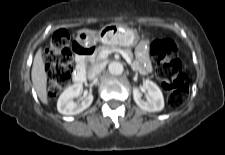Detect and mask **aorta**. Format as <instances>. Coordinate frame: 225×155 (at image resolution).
Instances as JSON below:
<instances>
[{
    "label": "aorta",
    "mask_w": 225,
    "mask_h": 155,
    "mask_svg": "<svg viewBox=\"0 0 225 155\" xmlns=\"http://www.w3.org/2000/svg\"><path fill=\"white\" fill-rule=\"evenodd\" d=\"M108 70L112 75H121L124 67L120 62H111L108 66Z\"/></svg>",
    "instance_id": "aorta-1"
}]
</instances>
